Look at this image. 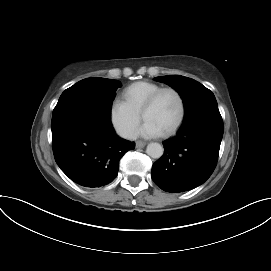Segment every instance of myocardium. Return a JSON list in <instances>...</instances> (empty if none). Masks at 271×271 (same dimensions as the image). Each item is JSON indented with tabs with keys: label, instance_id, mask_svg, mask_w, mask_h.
I'll list each match as a JSON object with an SVG mask.
<instances>
[{
	"label": "myocardium",
	"instance_id": "obj_1",
	"mask_svg": "<svg viewBox=\"0 0 271 271\" xmlns=\"http://www.w3.org/2000/svg\"><path fill=\"white\" fill-rule=\"evenodd\" d=\"M165 92H172L176 95L178 102H179V115L174 123V125L166 132L163 133L164 136H171L173 135L181 126L184 117H185V101L180 93V91L174 87H162L156 92H154L145 102V104L142 107L141 110V117L144 119L145 114L153 108V106L156 104L158 98Z\"/></svg>",
	"mask_w": 271,
	"mask_h": 271
}]
</instances>
